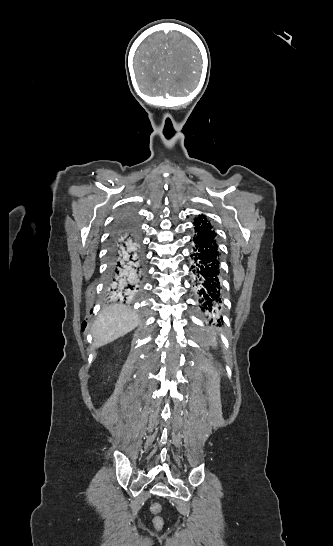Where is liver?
I'll return each mask as SVG.
<instances>
[{"label":"liver","mask_w":333,"mask_h":546,"mask_svg":"<svg viewBox=\"0 0 333 546\" xmlns=\"http://www.w3.org/2000/svg\"><path fill=\"white\" fill-rule=\"evenodd\" d=\"M139 322V315L125 305L104 306L91 328L94 347H101L126 335Z\"/></svg>","instance_id":"liver-1"}]
</instances>
